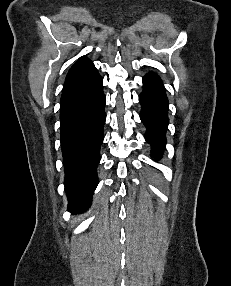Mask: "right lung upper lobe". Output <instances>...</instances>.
Returning <instances> with one entry per match:
<instances>
[{
    "mask_svg": "<svg viewBox=\"0 0 231 286\" xmlns=\"http://www.w3.org/2000/svg\"><path fill=\"white\" fill-rule=\"evenodd\" d=\"M94 64L85 56L79 58V60L70 68L66 80H73L82 74H89L96 71Z\"/></svg>",
    "mask_w": 231,
    "mask_h": 286,
    "instance_id": "1",
    "label": "right lung upper lobe"
}]
</instances>
